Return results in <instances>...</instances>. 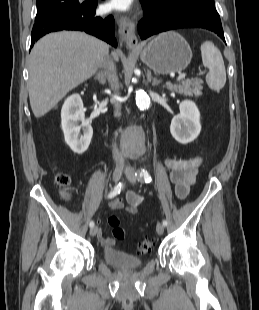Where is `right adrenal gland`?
Segmentation results:
<instances>
[{
    "mask_svg": "<svg viewBox=\"0 0 259 310\" xmlns=\"http://www.w3.org/2000/svg\"><path fill=\"white\" fill-rule=\"evenodd\" d=\"M109 74L107 71L96 72L95 79L99 81L100 84L104 85L107 82Z\"/></svg>",
    "mask_w": 259,
    "mask_h": 310,
    "instance_id": "2a0ac1e0",
    "label": "right adrenal gland"
}]
</instances>
